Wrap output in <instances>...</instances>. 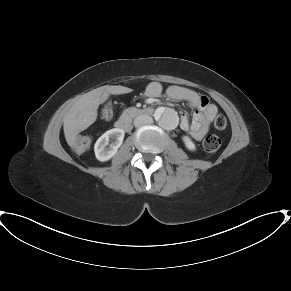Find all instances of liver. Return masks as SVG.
Masks as SVG:
<instances>
[{"label":"liver","mask_w":291,"mask_h":291,"mask_svg":"<svg viewBox=\"0 0 291 291\" xmlns=\"http://www.w3.org/2000/svg\"><path fill=\"white\" fill-rule=\"evenodd\" d=\"M132 90L124 86H103L84 94L65 114L64 134L70 146L75 145L77 135L92 125L98 115V107L110 96L129 93Z\"/></svg>","instance_id":"liver-1"}]
</instances>
